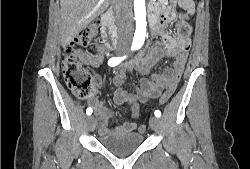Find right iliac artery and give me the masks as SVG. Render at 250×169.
Segmentation results:
<instances>
[{
	"instance_id": "82829eb1",
	"label": "right iliac artery",
	"mask_w": 250,
	"mask_h": 169,
	"mask_svg": "<svg viewBox=\"0 0 250 169\" xmlns=\"http://www.w3.org/2000/svg\"><path fill=\"white\" fill-rule=\"evenodd\" d=\"M125 57L126 56H124V57H112L111 59H109L108 65L111 66V67H114V66L118 65L122 60H124ZM92 112H93L92 108H90V107L87 108V110H86L87 115H91Z\"/></svg>"
}]
</instances>
